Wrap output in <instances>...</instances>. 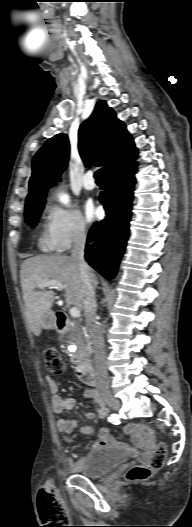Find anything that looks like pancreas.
<instances>
[{
	"label": "pancreas",
	"mask_w": 192,
	"mask_h": 527,
	"mask_svg": "<svg viewBox=\"0 0 192 527\" xmlns=\"http://www.w3.org/2000/svg\"><path fill=\"white\" fill-rule=\"evenodd\" d=\"M68 338L70 339L69 343L76 344L78 349H80L84 345V343L87 342L84 330L79 325H74L72 327Z\"/></svg>",
	"instance_id": "pancreas-1"
}]
</instances>
